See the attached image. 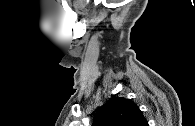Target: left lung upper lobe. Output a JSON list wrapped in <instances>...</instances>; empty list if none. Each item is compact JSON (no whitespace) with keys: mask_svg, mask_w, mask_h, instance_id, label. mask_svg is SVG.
Returning <instances> with one entry per match:
<instances>
[{"mask_svg":"<svg viewBox=\"0 0 195 126\" xmlns=\"http://www.w3.org/2000/svg\"><path fill=\"white\" fill-rule=\"evenodd\" d=\"M146 122L139 107L123 97L110 99L94 116V126H143Z\"/></svg>","mask_w":195,"mask_h":126,"instance_id":"left-lung-upper-lobe-1","label":"left lung upper lobe"}]
</instances>
